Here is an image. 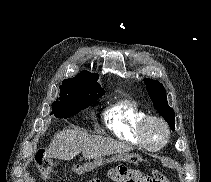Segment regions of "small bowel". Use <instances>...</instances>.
Returning a JSON list of instances; mask_svg holds the SVG:
<instances>
[{
	"label": "small bowel",
	"mask_w": 211,
	"mask_h": 182,
	"mask_svg": "<svg viewBox=\"0 0 211 182\" xmlns=\"http://www.w3.org/2000/svg\"><path fill=\"white\" fill-rule=\"evenodd\" d=\"M112 174H113V171L110 173V177L112 178ZM120 182H122V181H120Z\"/></svg>",
	"instance_id": "1"
}]
</instances>
